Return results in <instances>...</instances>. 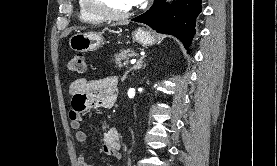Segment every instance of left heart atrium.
<instances>
[{
    "instance_id": "39dd6f15",
    "label": "left heart atrium",
    "mask_w": 277,
    "mask_h": 166,
    "mask_svg": "<svg viewBox=\"0 0 277 166\" xmlns=\"http://www.w3.org/2000/svg\"><path fill=\"white\" fill-rule=\"evenodd\" d=\"M145 0H132L133 5H139L143 3Z\"/></svg>"
}]
</instances>
